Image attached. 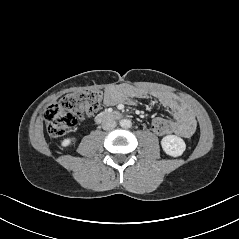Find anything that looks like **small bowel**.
Wrapping results in <instances>:
<instances>
[{"mask_svg": "<svg viewBox=\"0 0 239 239\" xmlns=\"http://www.w3.org/2000/svg\"><path fill=\"white\" fill-rule=\"evenodd\" d=\"M146 96L151 97L160 108L172 116V130L169 134L173 133L183 138H190L194 134L197 122L193 112L171 93L148 91L141 87L121 84L106 90L104 104L108 107L121 103L131 104L133 99Z\"/></svg>", "mask_w": 239, "mask_h": 239, "instance_id": "obj_1", "label": "small bowel"}]
</instances>
